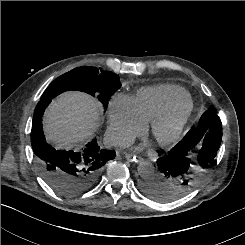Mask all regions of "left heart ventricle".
I'll return each mask as SVG.
<instances>
[{
  "label": "left heart ventricle",
  "mask_w": 245,
  "mask_h": 245,
  "mask_svg": "<svg viewBox=\"0 0 245 245\" xmlns=\"http://www.w3.org/2000/svg\"><path fill=\"white\" fill-rule=\"evenodd\" d=\"M168 133V127H163L161 130H160V135L161 136H164Z\"/></svg>",
  "instance_id": "b2bd125f"
}]
</instances>
